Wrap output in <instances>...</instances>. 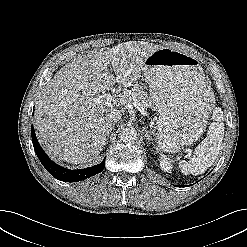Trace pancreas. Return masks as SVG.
<instances>
[{
  "label": "pancreas",
  "mask_w": 247,
  "mask_h": 247,
  "mask_svg": "<svg viewBox=\"0 0 247 247\" xmlns=\"http://www.w3.org/2000/svg\"><path fill=\"white\" fill-rule=\"evenodd\" d=\"M129 99L137 100L142 107H149L152 104L148 94L139 88V86H134L132 88Z\"/></svg>",
  "instance_id": "pancreas-1"
}]
</instances>
